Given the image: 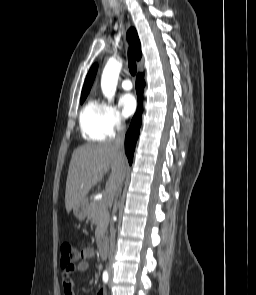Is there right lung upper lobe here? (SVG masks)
I'll return each instance as SVG.
<instances>
[{
  "label": "right lung upper lobe",
  "mask_w": 256,
  "mask_h": 295,
  "mask_svg": "<svg viewBox=\"0 0 256 295\" xmlns=\"http://www.w3.org/2000/svg\"><path fill=\"white\" fill-rule=\"evenodd\" d=\"M127 35H128V40H129V43L133 49L136 59L140 60L142 53H141L140 41H139L136 30L134 28H130L128 30ZM97 68H98V65L94 64L91 67V69L89 70L86 80H85V83H84V86H83V89H82L81 95H88L90 88L92 86V83L94 81V78H95V75L97 72Z\"/></svg>",
  "instance_id": "right-lung-upper-lobe-1"
}]
</instances>
